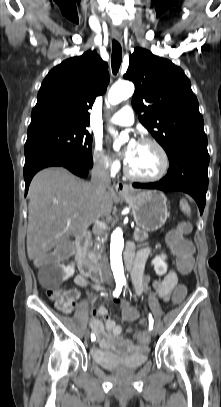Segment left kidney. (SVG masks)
Listing matches in <instances>:
<instances>
[{"mask_svg":"<svg viewBox=\"0 0 221 407\" xmlns=\"http://www.w3.org/2000/svg\"><path fill=\"white\" fill-rule=\"evenodd\" d=\"M165 260H166V255L161 254L159 256H156L151 262L152 265L154 266V270H155L156 274L159 276H162L167 272L168 265L165 262Z\"/></svg>","mask_w":221,"mask_h":407,"instance_id":"left-kidney-1","label":"left kidney"}]
</instances>
